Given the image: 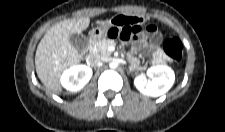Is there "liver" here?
Here are the masks:
<instances>
[{
    "label": "liver",
    "instance_id": "obj_1",
    "mask_svg": "<svg viewBox=\"0 0 225 132\" xmlns=\"http://www.w3.org/2000/svg\"><path fill=\"white\" fill-rule=\"evenodd\" d=\"M110 21H97L105 25ZM90 24L89 17L68 19L52 26L41 39L35 54L37 75L43 85L54 93H61L60 77L64 70L78 64L81 57L71 44L69 36L80 34Z\"/></svg>",
    "mask_w": 225,
    "mask_h": 132
}]
</instances>
